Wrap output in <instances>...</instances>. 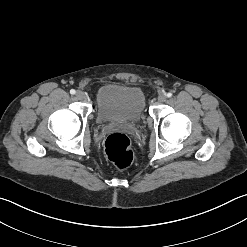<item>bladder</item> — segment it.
I'll list each match as a JSON object with an SVG mask.
<instances>
[{"label": "bladder", "instance_id": "1", "mask_svg": "<svg viewBox=\"0 0 247 247\" xmlns=\"http://www.w3.org/2000/svg\"><path fill=\"white\" fill-rule=\"evenodd\" d=\"M145 113V96L136 86L105 84L96 95L98 123H137Z\"/></svg>", "mask_w": 247, "mask_h": 247}]
</instances>
